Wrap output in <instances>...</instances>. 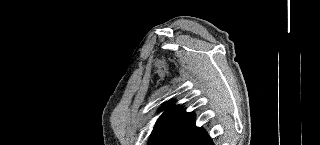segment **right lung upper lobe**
I'll use <instances>...</instances> for the list:
<instances>
[{"label":"right lung upper lobe","mask_w":320,"mask_h":145,"mask_svg":"<svg viewBox=\"0 0 320 145\" xmlns=\"http://www.w3.org/2000/svg\"><path fill=\"white\" fill-rule=\"evenodd\" d=\"M171 104H173V101L164 104L163 108H167ZM194 127L195 115L193 113L185 112L178 105L172 106L157 120L151 138L165 135L176 136Z\"/></svg>","instance_id":"cb5924a9"}]
</instances>
